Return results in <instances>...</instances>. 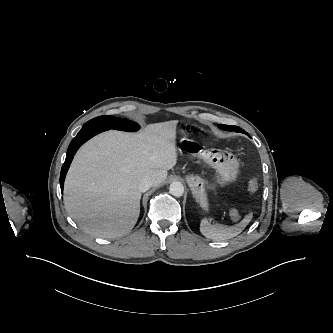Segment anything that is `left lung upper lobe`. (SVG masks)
<instances>
[{
  "label": "left lung upper lobe",
  "instance_id": "left-lung-upper-lobe-1",
  "mask_svg": "<svg viewBox=\"0 0 333 333\" xmlns=\"http://www.w3.org/2000/svg\"><path fill=\"white\" fill-rule=\"evenodd\" d=\"M218 127L221 128V129H223V130H227V131H236V132H241L242 131V129L239 128V127H237V126H230V125L219 124Z\"/></svg>",
  "mask_w": 333,
  "mask_h": 333
}]
</instances>
